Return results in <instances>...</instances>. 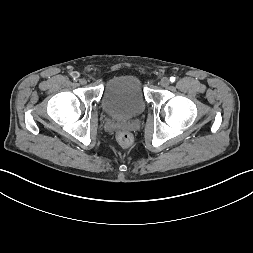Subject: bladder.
Masks as SVG:
<instances>
[{"label":"bladder","mask_w":253,"mask_h":253,"mask_svg":"<svg viewBox=\"0 0 253 253\" xmlns=\"http://www.w3.org/2000/svg\"><path fill=\"white\" fill-rule=\"evenodd\" d=\"M142 83L136 75L122 74L110 78L104 85L100 99L102 110L110 117L131 119L146 108Z\"/></svg>","instance_id":"1"}]
</instances>
